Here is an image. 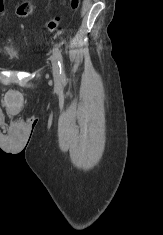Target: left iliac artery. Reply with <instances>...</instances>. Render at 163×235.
Here are the masks:
<instances>
[{"label": "left iliac artery", "instance_id": "left-iliac-artery-1", "mask_svg": "<svg viewBox=\"0 0 163 235\" xmlns=\"http://www.w3.org/2000/svg\"><path fill=\"white\" fill-rule=\"evenodd\" d=\"M54 56L56 57L57 61H58V65L60 68V77L62 79L63 82L66 81V75H65V69H64V62H63V57L61 54V50L58 48L57 45H55L54 49Z\"/></svg>", "mask_w": 163, "mask_h": 235}]
</instances>
